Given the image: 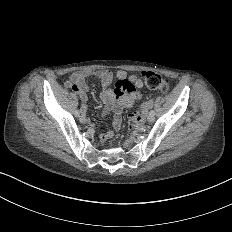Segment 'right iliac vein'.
Segmentation results:
<instances>
[{"instance_id": "obj_1", "label": "right iliac vein", "mask_w": 232, "mask_h": 232, "mask_svg": "<svg viewBox=\"0 0 232 232\" xmlns=\"http://www.w3.org/2000/svg\"><path fill=\"white\" fill-rule=\"evenodd\" d=\"M78 120L82 123V124H87L88 123V118L84 117L83 115H80L78 117Z\"/></svg>"}]
</instances>
